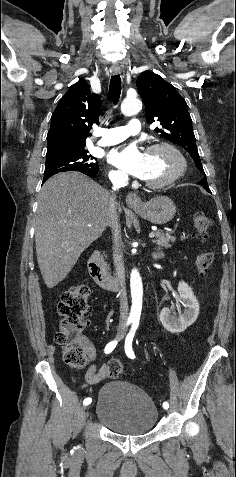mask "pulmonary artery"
Returning a JSON list of instances; mask_svg holds the SVG:
<instances>
[{
    "mask_svg": "<svg viewBox=\"0 0 236 477\" xmlns=\"http://www.w3.org/2000/svg\"><path fill=\"white\" fill-rule=\"evenodd\" d=\"M141 122L139 119H131L126 126L116 128H102L97 131L101 136L98 144L102 146H110L120 143L131 135H135L141 131Z\"/></svg>",
    "mask_w": 236,
    "mask_h": 477,
    "instance_id": "e3ab8cb5",
    "label": "pulmonary artery"
}]
</instances>
